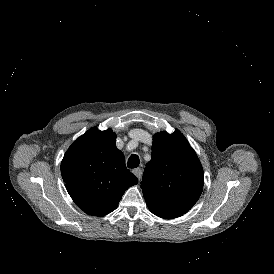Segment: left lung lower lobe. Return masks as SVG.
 <instances>
[{"mask_svg":"<svg viewBox=\"0 0 274 274\" xmlns=\"http://www.w3.org/2000/svg\"><path fill=\"white\" fill-rule=\"evenodd\" d=\"M148 208L150 209V211L153 214H155L159 217L165 218V219H172V218H176V217H179L182 215L177 212L167 211L163 208H156V207H152V206H148Z\"/></svg>","mask_w":274,"mask_h":274,"instance_id":"obj_1","label":"left lung lower lobe"}]
</instances>
